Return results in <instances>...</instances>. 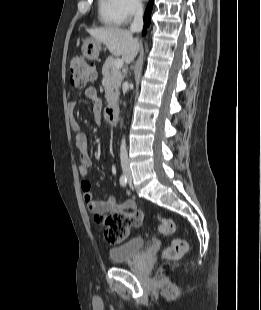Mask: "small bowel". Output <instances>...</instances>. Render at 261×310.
<instances>
[{"label":"small bowel","instance_id":"small-bowel-1","mask_svg":"<svg viewBox=\"0 0 261 310\" xmlns=\"http://www.w3.org/2000/svg\"><path fill=\"white\" fill-rule=\"evenodd\" d=\"M85 94L93 102L94 112L98 114L101 110L102 103L97 95L96 89L94 87H88ZM75 106L76 103L74 101H71L68 104V108L71 112L74 111ZM72 130L75 134L76 146L79 154V174L83 177L81 182L83 198L87 203L89 210L95 215V219L98 221V218L106 213H120L124 210L134 212L136 210V204L131 199L125 201L123 204L117 203L113 196H109L102 200L94 199L89 180L92 176V162L88 151V140L86 135L80 131L75 122H72Z\"/></svg>","mask_w":261,"mask_h":310}]
</instances>
